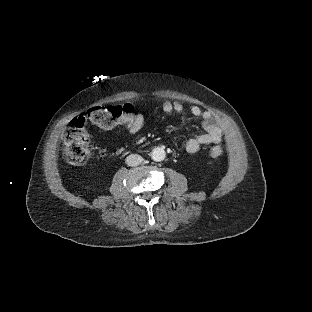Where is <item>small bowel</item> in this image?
<instances>
[{
  "label": "small bowel",
  "instance_id": "obj_1",
  "mask_svg": "<svg viewBox=\"0 0 312 312\" xmlns=\"http://www.w3.org/2000/svg\"><path fill=\"white\" fill-rule=\"evenodd\" d=\"M184 107L181 102L165 101L162 104V110L170 114L172 112L181 113ZM193 117L202 120L205 133L197 135L187 141L185 149L188 153H195L201 146L219 143L223 138V129L220 120L211 112L203 110L198 105H192L189 109ZM145 124V118L142 113H137L127 120V128L130 132L140 131Z\"/></svg>",
  "mask_w": 312,
  "mask_h": 312
}]
</instances>
